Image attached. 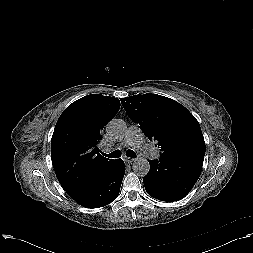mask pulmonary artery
Listing matches in <instances>:
<instances>
[{"instance_id":"1","label":"pulmonary artery","mask_w":253,"mask_h":253,"mask_svg":"<svg viewBox=\"0 0 253 253\" xmlns=\"http://www.w3.org/2000/svg\"><path fill=\"white\" fill-rule=\"evenodd\" d=\"M122 146H130L140 150L145 156L158 157L159 152L153 150L151 147L144 143L143 134L136 126H131L124 138ZM106 151H110V148H106Z\"/></svg>"}]
</instances>
